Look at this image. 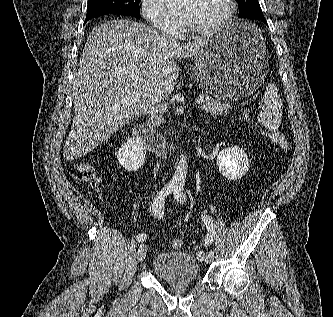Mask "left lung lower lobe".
I'll return each mask as SVG.
<instances>
[{
	"instance_id": "obj_1",
	"label": "left lung lower lobe",
	"mask_w": 333,
	"mask_h": 317,
	"mask_svg": "<svg viewBox=\"0 0 333 317\" xmlns=\"http://www.w3.org/2000/svg\"><path fill=\"white\" fill-rule=\"evenodd\" d=\"M250 19H258V20H261L262 22H264V23L267 24V22H266V20H265V18H264L263 15L255 16V17H252V18H250Z\"/></svg>"
}]
</instances>
